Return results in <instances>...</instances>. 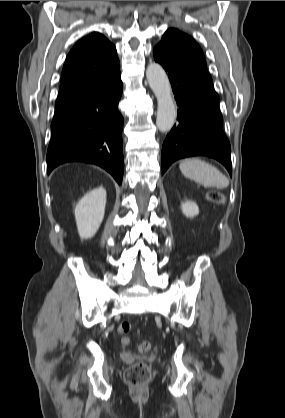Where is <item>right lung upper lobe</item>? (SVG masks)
<instances>
[{
    "label": "right lung upper lobe",
    "mask_w": 285,
    "mask_h": 418,
    "mask_svg": "<svg viewBox=\"0 0 285 418\" xmlns=\"http://www.w3.org/2000/svg\"><path fill=\"white\" fill-rule=\"evenodd\" d=\"M119 73L115 46L102 34L92 32L81 38L66 58L55 107L95 90Z\"/></svg>",
    "instance_id": "1"
}]
</instances>
